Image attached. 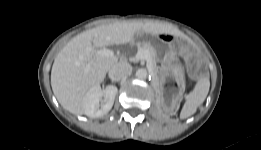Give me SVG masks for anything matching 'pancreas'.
Masks as SVG:
<instances>
[{"label":"pancreas","mask_w":261,"mask_h":150,"mask_svg":"<svg viewBox=\"0 0 261 150\" xmlns=\"http://www.w3.org/2000/svg\"><path fill=\"white\" fill-rule=\"evenodd\" d=\"M139 49H144L148 52L149 55V59L147 60L148 65L150 67L152 74L157 78L159 67L156 64V59L153 55V48L149 44L145 43L142 46H140Z\"/></svg>","instance_id":"cf45deb5"}]
</instances>
